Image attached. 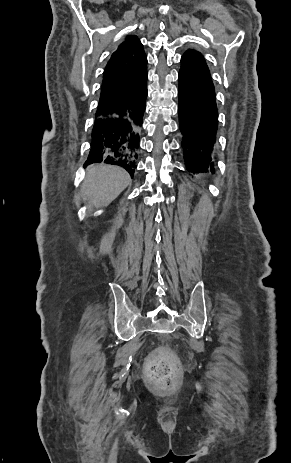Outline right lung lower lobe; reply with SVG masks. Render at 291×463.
<instances>
[{
  "instance_id": "obj_1",
  "label": "right lung lower lobe",
  "mask_w": 291,
  "mask_h": 463,
  "mask_svg": "<svg viewBox=\"0 0 291 463\" xmlns=\"http://www.w3.org/2000/svg\"><path fill=\"white\" fill-rule=\"evenodd\" d=\"M147 97V74L139 88L103 117L96 118L84 166L104 162L123 167L131 177L137 167L140 128Z\"/></svg>"
}]
</instances>
